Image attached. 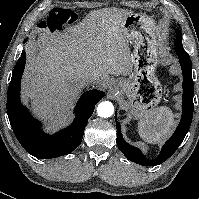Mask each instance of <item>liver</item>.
<instances>
[{
	"label": "liver",
	"mask_w": 199,
	"mask_h": 199,
	"mask_svg": "<svg viewBox=\"0 0 199 199\" xmlns=\"http://www.w3.org/2000/svg\"><path fill=\"white\" fill-rule=\"evenodd\" d=\"M132 13L118 8L94 10L78 24L34 44L28 52L25 92L37 116L61 120L86 86L82 80L87 76L104 86L111 81L109 75L132 72L122 27Z\"/></svg>",
	"instance_id": "1"
}]
</instances>
